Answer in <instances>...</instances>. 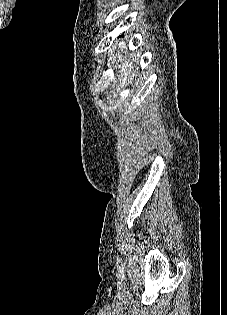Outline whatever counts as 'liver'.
<instances>
[{
	"label": "liver",
	"mask_w": 227,
	"mask_h": 315,
	"mask_svg": "<svg viewBox=\"0 0 227 315\" xmlns=\"http://www.w3.org/2000/svg\"><path fill=\"white\" fill-rule=\"evenodd\" d=\"M118 48H120V51L114 54L113 52L116 49V45H114L113 50H111L110 61L117 67L115 81L117 78L119 81L117 90H120V88H124L127 84L136 79L135 73L138 59L135 54H131L130 56L126 54L127 45L124 42H120Z\"/></svg>",
	"instance_id": "6515ba94"
}]
</instances>
